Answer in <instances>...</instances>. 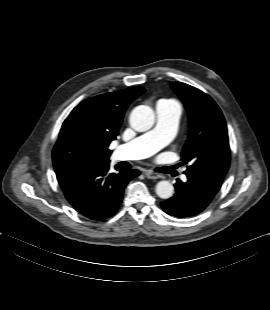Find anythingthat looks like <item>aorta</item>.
<instances>
[{
  "label": "aorta",
  "instance_id": "1",
  "mask_svg": "<svg viewBox=\"0 0 270 310\" xmlns=\"http://www.w3.org/2000/svg\"><path fill=\"white\" fill-rule=\"evenodd\" d=\"M155 121L154 111L148 106H138L130 114L131 127L138 132H145L152 128ZM174 187L169 181H160L156 185V194L162 199L170 198Z\"/></svg>",
  "mask_w": 270,
  "mask_h": 310
}]
</instances>
